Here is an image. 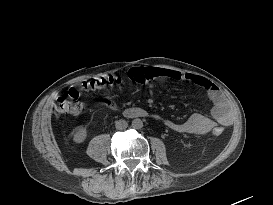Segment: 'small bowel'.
<instances>
[{
  "mask_svg": "<svg viewBox=\"0 0 273 205\" xmlns=\"http://www.w3.org/2000/svg\"><path fill=\"white\" fill-rule=\"evenodd\" d=\"M150 78L148 81H155L159 78H168L175 80H187L193 84L203 88L206 91L207 97L211 100L213 107L211 117L203 114H193L188 120L182 123L166 121L168 128L179 133H188L195 135H205L213 131L215 128H221L232 123V115L225 96L219 88L205 77L194 75L191 73L182 74L175 70L149 67ZM133 115L138 111V108L131 107L128 109Z\"/></svg>",
  "mask_w": 273,
  "mask_h": 205,
  "instance_id": "obj_1",
  "label": "small bowel"
}]
</instances>
